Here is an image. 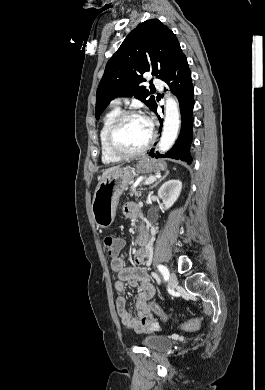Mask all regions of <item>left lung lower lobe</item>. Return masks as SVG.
I'll use <instances>...</instances> for the list:
<instances>
[{"label":"left lung lower lobe","mask_w":265,"mask_h":390,"mask_svg":"<svg viewBox=\"0 0 265 390\" xmlns=\"http://www.w3.org/2000/svg\"><path fill=\"white\" fill-rule=\"evenodd\" d=\"M167 83L171 91L177 96L182 117L181 131L174 146L165 154L160 155L151 149L149 155L155 158H173L187 163L192 162L189 149L192 141V123L194 106L193 85L191 72L188 67L187 58L182 52L175 61L169 75L163 80ZM157 105L154 108L156 113ZM159 117V116H158ZM162 127V119L159 117Z\"/></svg>","instance_id":"1"}]
</instances>
